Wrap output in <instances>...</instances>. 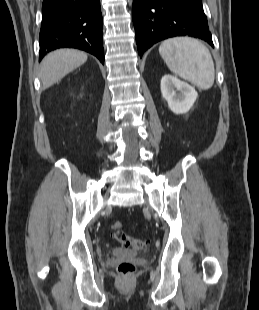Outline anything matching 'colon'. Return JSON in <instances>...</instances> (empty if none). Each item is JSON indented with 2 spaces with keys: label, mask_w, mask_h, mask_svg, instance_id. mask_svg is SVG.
Segmentation results:
<instances>
[{
  "label": "colon",
  "mask_w": 259,
  "mask_h": 310,
  "mask_svg": "<svg viewBox=\"0 0 259 310\" xmlns=\"http://www.w3.org/2000/svg\"><path fill=\"white\" fill-rule=\"evenodd\" d=\"M111 228L114 231L113 238L125 247H131L135 250H144L149 245V242L146 240L132 238L126 233H124L121 230L122 228L121 222L117 221V222L112 223ZM117 269L120 275L130 276L131 274H133L135 270V266L133 263L129 261H123L118 265Z\"/></svg>",
  "instance_id": "colon-1"
}]
</instances>
